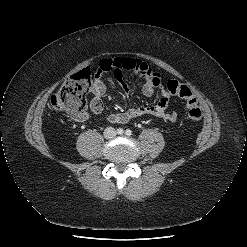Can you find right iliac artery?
<instances>
[{
	"label": "right iliac artery",
	"instance_id": "obj_1",
	"mask_svg": "<svg viewBox=\"0 0 247 247\" xmlns=\"http://www.w3.org/2000/svg\"><path fill=\"white\" fill-rule=\"evenodd\" d=\"M117 133L120 134V135L123 134V133H124L123 128H118V129H117Z\"/></svg>",
	"mask_w": 247,
	"mask_h": 247
}]
</instances>
